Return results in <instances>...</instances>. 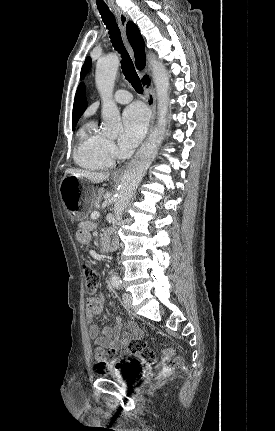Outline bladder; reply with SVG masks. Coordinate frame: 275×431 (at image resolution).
I'll use <instances>...</instances> for the list:
<instances>
[{"label": "bladder", "instance_id": "31cf9c89", "mask_svg": "<svg viewBox=\"0 0 275 431\" xmlns=\"http://www.w3.org/2000/svg\"><path fill=\"white\" fill-rule=\"evenodd\" d=\"M101 375L105 376V377L115 378V379H117L119 381H122L124 383H126L127 380H128L127 379L126 370L123 369V368H117L115 370H112V371H109V372H105V373L103 372V373H101Z\"/></svg>", "mask_w": 275, "mask_h": 431}]
</instances>
